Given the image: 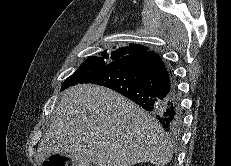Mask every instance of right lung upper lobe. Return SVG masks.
<instances>
[{"label":"right lung upper lobe","instance_id":"right-lung-upper-lobe-1","mask_svg":"<svg viewBox=\"0 0 231 166\" xmlns=\"http://www.w3.org/2000/svg\"><path fill=\"white\" fill-rule=\"evenodd\" d=\"M145 52H150L148 51L147 47L139 44H130L129 46L121 47L117 49L116 51L112 52L111 55L116 56V59H119L128 55H138ZM102 53H107V52L104 51Z\"/></svg>","mask_w":231,"mask_h":166}]
</instances>
